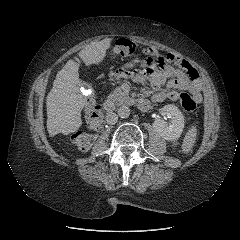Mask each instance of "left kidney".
I'll return each mask as SVG.
<instances>
[{
  "instance_id": "obj_1",
  "label": "left kidney",
  "mask_w": 240,
  "mask_h": 240,
  "mask_svg": "<svg viewBox=\"0 0 240 240\" xmlns=\"http://www.w3.org/2000/svg\"><path fill=\"white\" fill-rule=\"evenodd\" d=\"M160 112L166 114L171 119L170 123L157 117L153 122L154 130L164 139L173 141L180 137L184 128V116L178 107L168 104L160 109Z\"/></svg>"
}]
</instances>
